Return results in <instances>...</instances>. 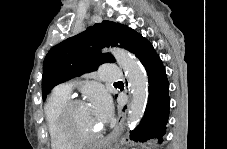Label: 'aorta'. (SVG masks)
<instances>
[{
    "label": "aorta",
    "instance_id": "obj_1",
    "mask_svg": "<svg viewBox=\"0 0 227 149\" xmlns=\"http://www.w3.org/2000/svg\"><path fill=\"white\" fill-rule=\"evenodd\" d=\"M118 65L125 71L132 93L127 125L133 129L141 120L148 99V78L137 59L123 49L111 50Z\"/></svg>",
    "mask_w": 227,
    "mask_h": 149
}]
</instances>
